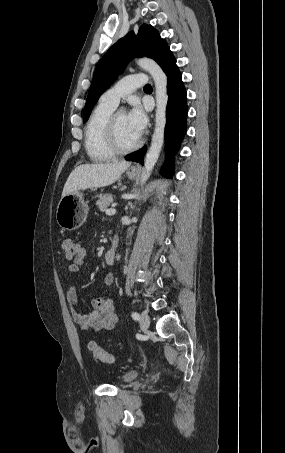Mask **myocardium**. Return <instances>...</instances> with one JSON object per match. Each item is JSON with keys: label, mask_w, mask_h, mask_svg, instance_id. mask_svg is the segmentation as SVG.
I'll list each match as a JSON object with an SVG mask.
<instances>
[{"label": "myocardium", "mask_w": 285, "mask_h": 453, "mask_svg": "<svg viewBox=\"0 0 285 453\" xmlns=\"http://www.w3.org/2000/svg\"><path fill=\"white\" fill-rule=\"evenodd\" d=\"M124 113L121 110L114 111L106 124V129H105V138H106V143L109 147V149L113 152L114 155H124L128 154L130 152H133L137 150L141 144H142V138L139 137L136 143H134L131 146L128 147H123L118 140L117 137V130H116V121L117 117L119 114Z\"/></svg>", "instance_id": "obj_1"}]
</instances>
